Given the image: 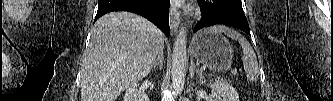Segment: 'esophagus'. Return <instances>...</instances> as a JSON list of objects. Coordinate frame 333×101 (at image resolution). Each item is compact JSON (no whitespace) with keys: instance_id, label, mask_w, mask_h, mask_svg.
Returning <instances> with one entry per match:
<instances>
[{"instance_id":"obj_1","label":"esophagus","mask_w":333,"mask_h":101,"mask_svg":"<svg viewBox=\"0 0 333 101\" xmlns=\"http://www.w3.org/2000/svg\"><path fill=\"white\" fill-rule=\"evenodd\" d=\"M180 23V15L178 11L174 8H170V29L172 33H176Z\"/></svg>"}]
</instances>
